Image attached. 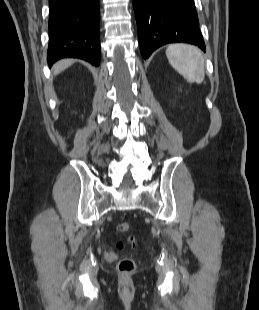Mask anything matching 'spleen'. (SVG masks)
Instances as JSON below:
<instances>
[{"label": "spleen", "mask_w": 259, "mask_h": 310, "mask_svg": "<svg viewBox=\"0 0 259 310\" xmlns=\"http://www.w3.org/2000/svg\"><path fill=\"white\" fill-rule=\"evenodd\" d=\"M171 66L191 83H202L205 78L204 58L195 46L172 44L166 49Z\"/></svg>", "instance_id": "1"}]
</instances>
